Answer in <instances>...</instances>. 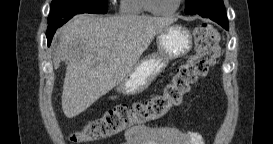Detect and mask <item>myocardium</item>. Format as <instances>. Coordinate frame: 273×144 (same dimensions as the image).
<instances>
[{
	"label": "myocardium",
	"mask_w": 273,
	"mask_h": 144,
	"mask_svg": "<svg viewBox=\"0 0 273 144\" xmlns=\"http://www.w3.org/2000/svg\"><path fill=\"white\" fill-rule=\"evenodd\" d=\"M154 2H155V0H145V10H147L148 12H150L153 15L166 16V15L174 14L180 8L183 0H177L176 5L169 10L157 9L154 5Z\"/></svg>",
	"instance_id": "myocardium-1"
}]
</instances>
